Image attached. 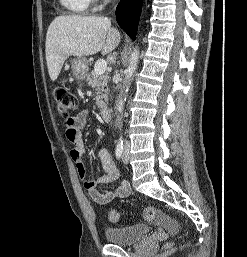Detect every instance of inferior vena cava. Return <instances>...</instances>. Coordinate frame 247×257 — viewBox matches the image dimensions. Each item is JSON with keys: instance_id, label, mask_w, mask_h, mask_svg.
I'll list each match as a JSON object with an SVG mask.
<instances>
[{"instance_id": "obj_1", "label": "inferior vena cava", "mask_w": 247, "mask_h": 257, "mask_svg": "<svg viewBox=\"0 0 247 257\" xmlns=\"http://www.w3.org/2000/svg\"><path fill=\"white\" fill-rule=\"evenodd\" d=\"M124 146H125V147H128V146H129L128 141H126V140L124 141Z\"/></svg>"}]
</instances>
